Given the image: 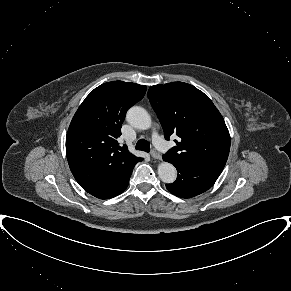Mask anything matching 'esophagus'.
<instances>
[{
  "mask_svg": "<svg viewBox=\"0 0 291 291\" xmlns=\"http://www.w3.org/2000/svg\"><path fill=\"white\" fill-rule=\"evenodd\" d=\"M151 156L154 159L161 160V155L155 149L151 151Z\"/></svg>",
  "mask_w": 291,
  "mask_h": 291,
  "instance_id": "1",
  "label": "esophagus"
}]
</instances>
